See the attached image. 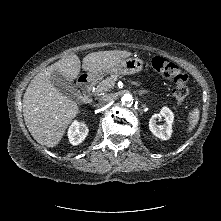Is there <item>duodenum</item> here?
<instances>
[{"instance_id":"1","label":"duodenum","mask_w":221,"mask_h":221,"mask_svg":"<svg viewBox=\"0 0 221 221\" xmlns=\"http://www.w3.org/2000/svg\"><path fill=\"white\" fill-rule=\"evenodd\" d=\"M78 87L81 90L84 100L89 102L91 100V77L83 74L78 79Z\"/></svg>"}]
</instances>
